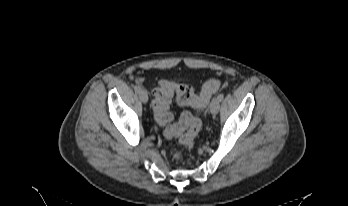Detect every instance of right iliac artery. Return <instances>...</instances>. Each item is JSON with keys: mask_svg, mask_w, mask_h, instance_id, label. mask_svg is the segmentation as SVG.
<instances>
[{"mask_svg": "<svg viewBox=\"0 0 348 206\" xmlns=\"http://www.w3.org/2000/svg\"><path fill=\"white\" fill-rule=\"evenodd\" d=\"M134 90H135L136 93H140L141 87L140 86H135Z\"/></svg>", "mask_w": 348, "mask_h": 206, "instance_id": "82829eb1", "label": "right iliac artery"}]
</instances>
